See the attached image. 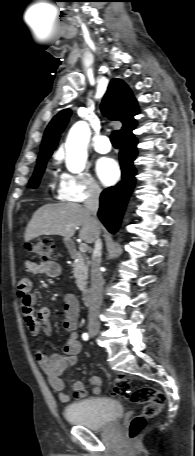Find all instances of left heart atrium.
Wrapping results in <instances>:
<instances>
[{"instance_id": "left-heart-atrium-1", "label": "left heart atrium", "mask_w": 195, "mask_h": 456, "mask_svg": "<svg viewBox=\"0 0 195 456\" xmlns=\"http://www.w3.org/2000/svg\"><path fill=\"white\" fill-rule=\"evenodd\" d=\"M96 174L104 185H112L118 179L119 167L112 158H100L95 166Z\"/></svg>"}]
</instances>
